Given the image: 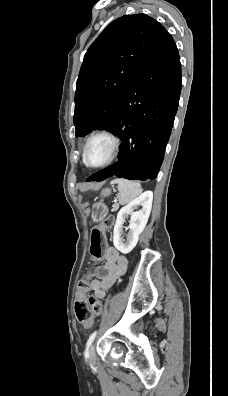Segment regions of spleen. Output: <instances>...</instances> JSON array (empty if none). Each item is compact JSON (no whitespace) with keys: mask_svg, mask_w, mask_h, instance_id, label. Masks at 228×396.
<instances>
[{"mask_svg":"<svg viewBox=\"0 0 228 396\" xmlns=\"http://www.w3.org/2000/svg\"><path fill=\"white\" fill-rule=\"evenodd\" d=\"M113 183L118 184L119 203L121 205L129 203L142 192L141 185L135 181L116 178L113 180Z\"/></svg>","mask_w":228,"mask_h":396,"instance_id":"spleen-1","label":"spleen"}]
</instances>
